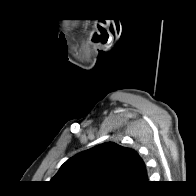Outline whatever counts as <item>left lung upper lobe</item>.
Instances as JSON below:
<instances>
[{
  "instance_id": "1",
  "label": "left lung upper lobe",
  "mask_w": 196,
  "mask_h": 196,
  "mask_svg": "<svg viewBox=\"0 0 196 196\" xmlns=\"http://www.w3.org/2000/svg\"><path fill=\"white\" fill-rule=\"evenodd\" d=\"M144 161L131 148L106 142L68 159L51 182L88 194L127 193L147 182Z\"/></svg>"
}]
</instances>
